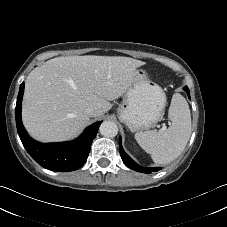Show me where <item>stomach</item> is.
Wrapping results in <instances>:
<instances>
[{
    "instance_id": "stomach-1",
    "label": "stomach",
    "mask_w": 227,
    "mask_h": 227,
    "mask_svg": "<svg viewBox=\"0 0 227 227\" xmlns=\"http://www.w3.org/2000/svg\"><path fill=\"white\" fill-rule=\"evenodd\" d=\"M166 105L163 89L148 79L146 70L137 68L117 109L118 118L132 132L147 130L157 123Z\"/></svg>"
}]
</instances>
